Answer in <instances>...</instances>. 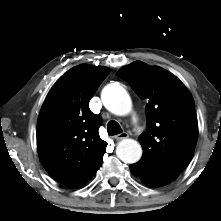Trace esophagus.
I'll list each match as a JSON object with an SVG mask.
<instances>
[{
	"label": "esophagus",
	"instance_id": "obj_1",
	"mask_svg": "<svg viewBox=\"0 0 221 221\" xmlns=\"http://www.w3.org/2000/svg\"><path fill=\"white\" fill-rule=\"evenodd\" d=\"M128 137H129L128 133L123 132V133H120V134L116 135L114 138L116 140H122V139H126Z\"/></svg>",
	"mask_w": 221,
	"mask_h": 221
}]
</instances>
